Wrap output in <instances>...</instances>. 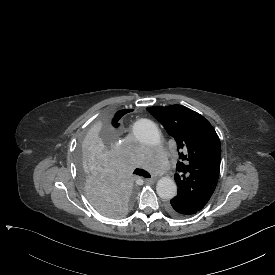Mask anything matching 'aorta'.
Listing matches in <instances>:
<instances>
[{
  "instance_id": "1",
  "label": "aorta",
  "mask_w": 275,
  "mask_h": 275,
  "mask_svg": "<svg viewBox=\"0 0 275 275\" xmlns=\"http://www.w3.org/2000/svg\"><path fill=\"white\" fill-rule=\"evenodd\" d=\"M133 134L138 140L148 144H155L160 140V134L155 123L146 118L135 121ZM156 191L161 199L171 200L177 195V186L170 178H162L157 183Z\"/></svg>"
}]
</instances>
